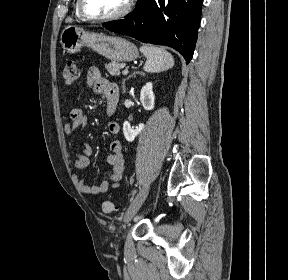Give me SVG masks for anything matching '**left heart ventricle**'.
Returning <instances> with one entry per match:
<instances>
[{
	"label": "left heart ventricle",
	"mask_w": 288,
	"mask_h": 280,
	"mask_svg": "<svg viewBox=\"0 0 288 280\" xmlns=\"http://www.w3.org/2000/svg\"><path fill=\"white\" fill-rule=\"evenodd\" d=\"M127 0H84L86 11L93 16H109L120 11Z\"/></svg>",
	"instance_id": "1"
}]
</instances>
